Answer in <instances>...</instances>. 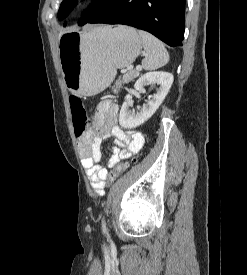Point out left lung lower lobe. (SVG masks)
<instances>
[{
    "instance_id": "0a47b994",
    "label": "left lung lower lobe",
    "mask_w": 247,
    "mask_h": 275,
    "mask_svg": "<svg viewBox=\"0 0 247 275\" xmlns=\"http://www.w3.org/2000/svg\"><path fill=\"white\" fill-rule=\"evenodd\" d=\"M186 0H109L86 23L124 24L182 46Z\"/></svg>"
}]
</instances>
